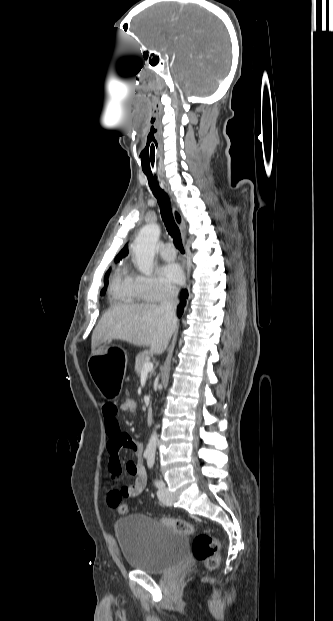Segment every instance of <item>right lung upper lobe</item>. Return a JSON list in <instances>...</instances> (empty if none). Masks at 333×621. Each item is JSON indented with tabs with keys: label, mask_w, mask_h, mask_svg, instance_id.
Listing matches in <instances>:
<instances>
[{
	"label": "right lung upper lobe",
	"mask_w": 333,
	"mask_h": 621,
	"mask_svg": "<svg viewBox=\"0 0 333 621\" xmlns=\"http://www.w3.org/2000/svg\"><path fill=\"white\" fill-rule=\"evenodd\" d=\"M128 254L127 245L119 252V254L115 257V260L119 262L123 257Z\"/></svg>",
	"instance_id": "right-lung-upper-lobe-1"
}]
</instances>
